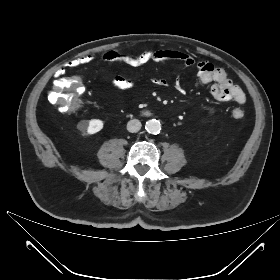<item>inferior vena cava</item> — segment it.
I'll return each mask as SVG.
<instances>
[{"mask_svg": "<svg viewBox=\"0 0 280 280\" xmlns=\"http://www.w3.org/2000/svg\"><path fill=\"white\" fill-rule=\"evenodd\" d=\"M141 126V122L138 119H133L127 123V130L131 133H136L141 129Z\"/></svg>", "mask_w": 280, "mask_h": 280, "instance_id": "inferior-vena-cava-1", "label": "inferior vena cava"}]
</instances>
